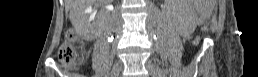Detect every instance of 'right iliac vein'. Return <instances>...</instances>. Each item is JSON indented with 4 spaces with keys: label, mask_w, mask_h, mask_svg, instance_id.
<instances>
[{
    "label": "right iliac vein",
    "mask_w": 258,
    "mask_h": 77,
    "mask_svg": "<svg viewBox=\"0 0 258 77\" xmlns=\"http://www.w3.org/2000/svg\"><path fill=\"white\" fill-rule=\"evenodd\" d=\"M120 68L119 65L116 64L111 72V76L110 77H117L119 74Z\"/></svg>",
    "instance_id": "63e3f726"
}]
</instances>
